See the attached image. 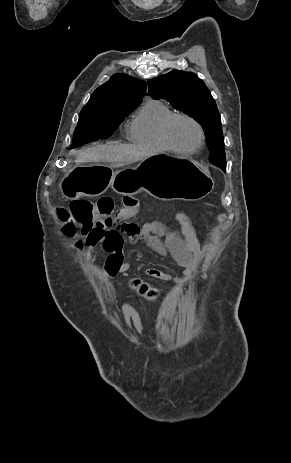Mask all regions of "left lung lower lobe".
Returning <instances> with one entry per match:
<instances>
[{
  "instance_id": "0a47b994",
  "label": "left lung lower lobe",
  "mask_w": 291,
  "mask_h": 463,
  "mask_svg": "<svg viewBox=\"0 0 291 463\" xmlns=\"http://www.w3.org/2000/svg\"><path fill=\"white\" fill-rule=\"evenodd\" d=\"M222 170H225L226 169V166H223V167H220Z\"/></svg>"
}]
</instances>
